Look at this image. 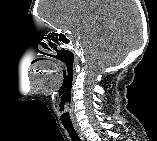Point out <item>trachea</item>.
<instances>
[{
  "label": "trachea",
  "mask_w": 157,
  "mask_h": 141,
  "mask_svg": "<svg viewBox=\"0 0 157 141\" xmlns=\"http://www.w3.org/2000/svg\"><path fill=\"white\" fill-rule=\"evenodd\" d=\"M72 141H81L78 133L73 126H64Z\"/></svg>",
  "instance_id": "3493384b"
}]
</instances>
